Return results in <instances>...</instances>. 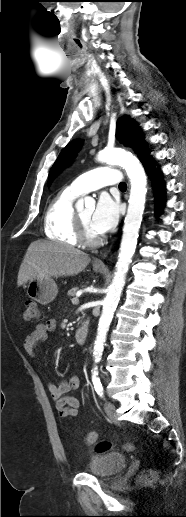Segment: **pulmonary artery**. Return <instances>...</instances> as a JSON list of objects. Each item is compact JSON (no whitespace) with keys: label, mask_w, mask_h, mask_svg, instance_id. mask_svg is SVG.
<instances>
[{"label":"pulmonary artery","mask_w":186,"mask_h":517,"mask_svg":"<svg viewBox=\"0 0 186 517\" xmlns=\"http://www.w3.org/2000/svg\"><path fill=\"white\" fill-rule=\"evenodd\" d=\"M120 183L121 174L118 169L101 167L80 175L72 181L70 187L79 194H85L104 186L118 185Z\"/></svg>","instance_id":"pulmonary-artery-1"}]
</instances>
